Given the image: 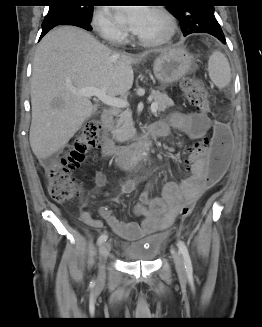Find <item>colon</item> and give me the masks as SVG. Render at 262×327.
Instances as JSON below:
<instances>
[{"instance_id": "obj_1", "label": "colon", "mask_w": 262, "mask_h": 327, "mask_svg": "<svg viewBox=\"0 0 262 327\" xmlns=\"http://www.w3.org/2000/svg\"><path fill=\"white\" fill-rule=\"evenodd\" d=\"M181 89L187 101L204 114L210 112L207 90L202 81L187 77L181 82ZM106 140L102 123L97 120L88 121L73 141L69 150L56 162L47 175V188L50 196L58 202H67L79 195V188L73 177V171L85 160L89 151L100 148ZM232 135L225 123H216L211 138L196 143L190 153L201 155L207 162L206 181L208 186L218 183L226 173ZM195 202L186 201L179 210L181 217H188Z\"/></svg>"}]
</instances>
